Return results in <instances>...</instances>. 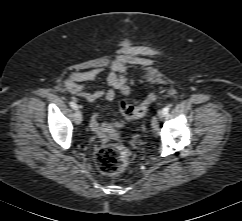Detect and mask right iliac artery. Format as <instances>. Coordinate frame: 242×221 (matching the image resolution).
Returning <instances> with one entry per match:
<instances>
[{
    "label": "right iliac artery",
    "instance_id": "82829eb1",
    "mask_svg": "<svg viewBox=\"0 0 242 221\" xmlns=\"http://www.w3.org/2000/svg\"><path fill=\"white\" fill-rule=\"evenodd\" d=\"M69 104L75 110L78 108L77 104L75 102H73V101H71Z\"/></svg>",
    "mask_w": 242,
    "mask_h": 221
}]
</instances>
